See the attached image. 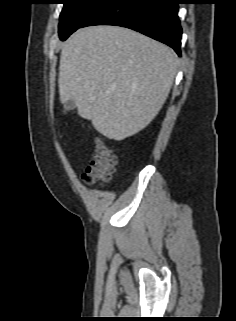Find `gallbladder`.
Wrapping results in <instances>:
<instances>
[{"label": "gallbladder", "instance_id": "1", "mask_svg": "<svg viewBox=\"0 0 236 321\" xmlns=\"http://www.w3.org/2000/svg\"><path fill=\"white\" fill-rule=\"evenodd\" d=\"M63 107H64L63 112L66 113V111L73 110L76 107V105H75V102L72 99H70L64 103Z\"/></svg>", "mask_w": 236, "mask_h": 321}]
</instances>
